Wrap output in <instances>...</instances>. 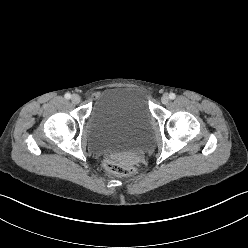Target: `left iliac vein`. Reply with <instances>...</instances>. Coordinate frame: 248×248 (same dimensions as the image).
<instances>
[{"instance_id": "1", "label": "left iliac vein", "mask_w": 248, "mask_h": 248, "mask_svg": "<svg viewBox=\"0 0 248 248\" xmlns=\"http://www.w3.org/2000/svg\"><path fill=\"white\" fill-rule=\"evenodd\" d=\"M161 102L163 104H167L169 102V96L168 94H164L162 97H161Z\"/></svg>"}]
</instances>
